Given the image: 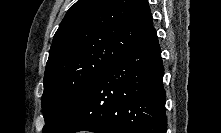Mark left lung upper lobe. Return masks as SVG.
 Listing matches in <instances>:
<instances>
[{"label": "left lung upper lobe", "instance_id": "obj_1", "mask_svg": "<svg viewBox=\"0 0 221 133\" xmlns=\"http://www.w3.org/2000/svg\"><path fill=\"white\" fill-rule=\"evenodd\" d=\"M153 28L147 0H78L49 51L41 99L43 133H56L98 76Z\"/></svg>", "mask_w": 221, "mask_h": 133}]
</instances>
